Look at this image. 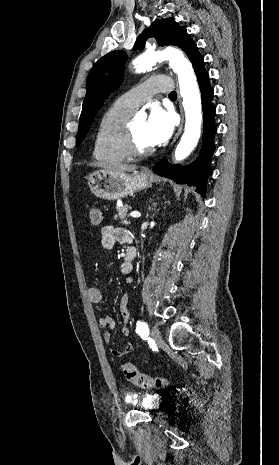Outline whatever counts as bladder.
Wrapping results in <instances>:
<instances>
[{"mask_svg":"<svg viewBox=\"0 0 279 465\" xmlns=\"http://www.w3.org/2000/svg\"><path fill=\"white\" fill-rule=\"evenodd\" d=\"M162 398L157 394H145L135 400V404L146 411L158 409L162 405Z\"/></svg>","mask_w":279,"mask_h":465,"instance_id":"31cf9c89","label":"bladder"}]
</instances>
